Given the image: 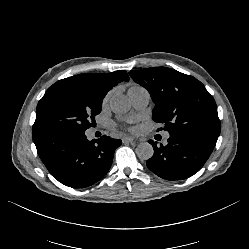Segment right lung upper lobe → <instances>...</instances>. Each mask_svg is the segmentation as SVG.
<instances>
[{
	"instance_id": "1",
	"label": "right lung upper lobe",
	"mask_w": 249,
	"mask_h": 249,
	"mask_svg": "<svg viewBox=\"0 0 249 249\" xmlns=\"http://www.w3.org/2000/svg\"><path fill=\"white\" fill-rule=\"evenodd\" d=\"M63 80L83 83L100 96L105 97L110 89L122 81H128L129 77L125 71H115L108 74H78Z\"/></svg>"
}]
</instances>
